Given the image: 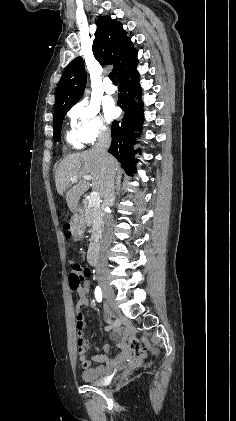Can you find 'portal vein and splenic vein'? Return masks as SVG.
<instances>
[{"label": "portal vein and splenic vein", "instance_id": "portal-vein-and-splenic-vein-1", "mask_svg": "<svg viewBox=\"0 0 236 421\" xmlns=\"http://www.w3.org/2000/svg\"><path fill=\"white\" fill-rule=\"evenodd\" d=\"M82 178H85V180H92L91 174H84ZM70 180H72V182H76L78 178L77 176H71ZM97 204H100L99 192H96V190H93L89 198V206H97Z\"/></svg>", "mask_w": 236, "mask_h": 421}]
</instances>
